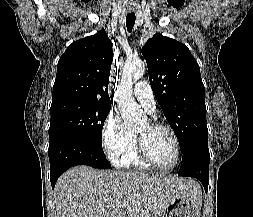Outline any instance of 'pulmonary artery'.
<instances>
[{"label": "pulmonary artery", "instance_id": "1", "mask_svg": "<svg viewBox=\"0 0 253 217\" xmlns=\"http://www.w3.org/2000/svg\"><path fill=\"white\" fill-rule=\"evenodd\" d=\"M133 94L142 106L150 113L155 111V100L150 85L145 81L138 82L133 88Z\"/></svg>", "mask_w": 253, "mask_h": 217}]
</instances>
